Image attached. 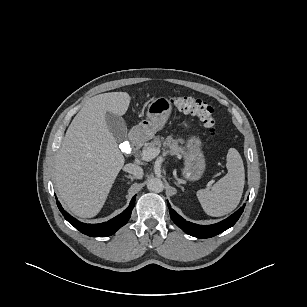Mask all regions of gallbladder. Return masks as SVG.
Instances as JSON below:
<instances>
[{
	"mask_svg": "<svg viewBox=\"0 0 307 307\" xmlns=\"http://www.w3.org/2000/svg\"><path fill=\"white\" fill-rule=\"evenodd\" d=\"M106 124L114 138L121 142L127 137V126L124 119L113 113L107 112L105 115Z\"/></svg>",
	"mask_w": 307,
	"mask_h": 307,
	"instance_id": "bac80fb5",
	"label": "gallbladder"
}]
</instances>
